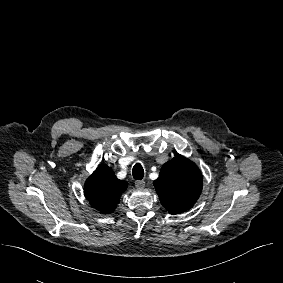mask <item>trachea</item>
<instances>
[{
    "mask_svg": "<svg viewBox=\"0 0 283 283\" xmlns=\"http://www.w3.org/2000/svg\"><path fill=\"white\" fill-rule=\"evenodd\" d=\"M132 174L134 179L141 180L144 177V170L140 163H136L133 167Z\"/></svg>",
    "mask_w": 283,
    "mask_h": 283,
    "instance_id": "1",
    "label": "trachea"
}]
</instances>
